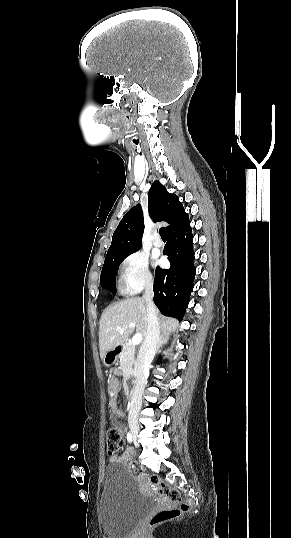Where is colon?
Segmentation results:
<instances>
[{"mask_svg": "<svg viewBox=\"0 0 291 538\" xmlns=\"http://www.w3.org/2000/svg\"><path fill=\"white\" fill-rule=\"evenodd\" d=\"M123 446L124 440L121 432L116 427L110 428L107 433V453L112 456L116 455ZM132 471L137 476L143 474L142 468L137 465L132 466ZM149 481L158 494L168 498L178 505V507L172 509H164L156 512L149 522V530H151L167 521L179 517L183 512H186L189 509V503L183 500L181 493L177 489L165 486L160 482L158 477L151 476L149 477Z\"/></svg>", "mask_w": 291, "mask_h": 538, "instance_id": "5ec220e1", "label": "colon"}]
</instances>
